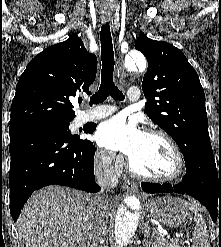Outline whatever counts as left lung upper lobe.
Segmentation results:
<instances>
[{"mask_svg": "<svg viewBox=\"0 0 221 247\" xmlns=\"http://www.w3.org/2000/svg\"><path fill=\"white\" fill-rule=\"evenodd\" d=\"M135 48L148 61L142 82L146 113L175 140L186 160L210 145L205 94L199 77L182 51L170 43L142 36Z\"/></svg>", "mask_w": 221, "mask_h": 247, "instance_id": "left-lung-upper-lobe-1", "label": "left lung upper lobe"}]
</instances>
